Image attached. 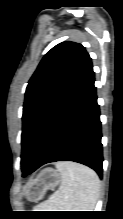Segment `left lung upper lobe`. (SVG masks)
Returning a JSON list of instances; mask_svg holds the SVG:
<instances>
[{
  "label": "left lung upper lobe",
  "mask_w": 123,
  "mask_h": 219,
  "mask_svg": "<svg viewBox=\"0 0 123 219\" xmlns=\"http://www.w3.org/2000/svg\"><path fill=\"white\" fill-rule=\"evenodd\" d=\"M92 68L85 48L62 42L41 60L28 82L23 105L21 166L24 168L54 112Z\"/></svg>",
  "instance_id": "obj_1"
}]
</instances>
